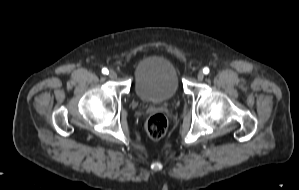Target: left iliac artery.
I'll use <instances>...</instances> for the list:
<instances>
[{"label": "left iliac artery", "instance_id": "obj_1", "mask_svg": "<svg viewBox=\"0 0 299 190\" xmlns=\"http://www.w3.org/2000/svg\"><path fill=\"white\" fill-rule=\"evenodd\" d=\"M203 73H204V74H208V73H209V68H208V67H205V68L203 69Z\"/></svg>", "mask_w": 299, "mask_h": 190}]
</instances>
